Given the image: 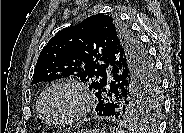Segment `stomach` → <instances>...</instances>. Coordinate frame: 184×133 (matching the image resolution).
<instances>
[{"instance_id": "obj_1", "label": "stomach", "mask_w": 184, "mask_h": 133, "mask_svg": "<svg viewBox=\"0 0 184 133\" xmlns=\"http://www.w3.org/2000/svg\"><path fill=\"white\" fill-rule=\"evenodd\" d=\"M81 133H88V131H83V132H81Z\"/></svg>"}]
</instances>
